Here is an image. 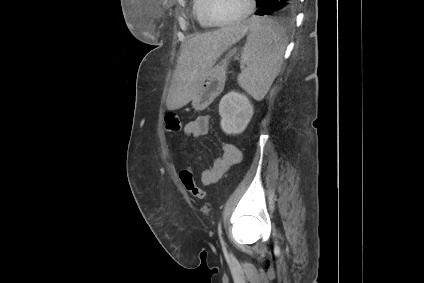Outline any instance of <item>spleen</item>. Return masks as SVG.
Wrapping results in <instances>:
<instances>
[{"mask_svg":"<svg viewBox=\"0 0 424 283\" xmlns=\"http://www.w3.org/2000/svg\"><path fill=\"white\" fill-rule=\"evenodd\" d=\"M250 33L241 55L247 67L238 76V83L248 94L262 100L280 72L287 45L283 27L271 19L252 17Z\"/></svg>","mask_w":424,"mask_h":283,"instance_id":"3e777b00","label":"spleen"}]
</instances>
